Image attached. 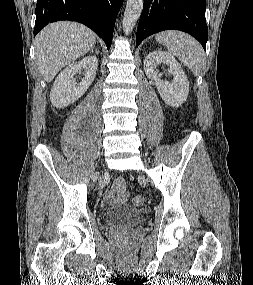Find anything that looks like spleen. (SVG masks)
Wrapping results in <instances>:
<instances>
[{
	"instance_id": "obj_1",
	"label": "spleen",
	"mask_w": 253,
	"mask_h": 285,
	"mask_svg": "<svg viewBox=\"0 0 253 285\" xmlns=\"http://www.w3.org/2000/svg\"><path fill=\"white\" fill-rule=\"evenodd\" d=\"M158 43L186 65L195 76L199 75L205 56L202 46L193 37L180 31H163L156 35Z\"/></svg>"
}]
</instances>
